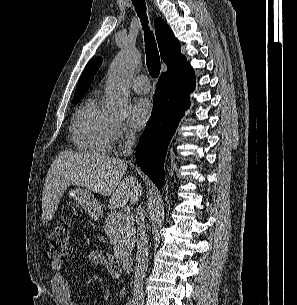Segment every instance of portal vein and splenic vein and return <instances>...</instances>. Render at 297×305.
Returning <instances> with one entry per match:
<instances>
[{
    "instance_id": "1",
    "label": "portal vein and splenic vein",
    "mask_w": 297,
    "mask_h": 305,
    "mask_svg": "<svg viewBox=\"0 0 297 305\" xmlns=\"http://www.w3.org/2000/svg\"><path fill=\"white\" fill-rule=\"evenodd\" d=\"M124 215H125V216H126V215H129V213H125Z\"/></svg>"
}]
</instances>
